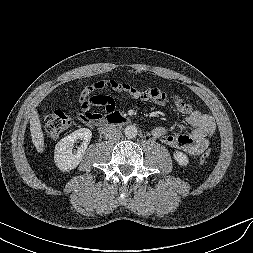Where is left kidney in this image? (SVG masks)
<instances>
[{"instance_id":"obj_1","label":"left kidney","mask_w":253,"mask_h":253,"mask_svg":"<svg viewBox=\"0 0 253 253\" xmlns=\"http://www.w3.org/2000/svg\"><path fill=\"white\" fill-rule=\"evenodd\" d=\"M174 159L177 161V163L181 166H187L189 163V159L186 154L176 151L174 153Z\"/></svg>"}]
</instances>
